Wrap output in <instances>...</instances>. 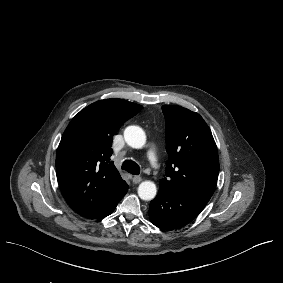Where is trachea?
Wrapping results in <instances>:
<instances>
[{"label": "trachea", "mask_w": 283, "mask_h": 283, "mask_svg": "<svg viewBox=\"0 0 283 283\" xmlns=\"http://www.w3.org/2000/svg\"><path fill=\"white\" fill-rule=\"evenodd\" d=\"M121 168L133 175H139L140 173L139 165L132 160H125Z\"/></svg>", "instance_id": "3493384b"}]
</instances>
